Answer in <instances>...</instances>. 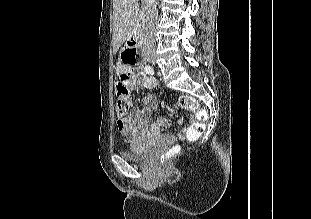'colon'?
Returning <instances> with one entry per match:
<instances>
[{
	"instance_id": "1",
	"label": "colon",
	"mask_w": 311,
	"mask_h": 219,
	"mask_svg": "<svg viewBox=\"0 0 311 219\" xmlns=\"http://www.w3.org/2000/svg\"><path fill=\"white\" fill-rule=\"evenodd\" d=\"M126 61L129 64H135L136 56L128 53ZM117 89V105L116 115L118 120H123L129 109L128 91L129 85L125 75H121L116 82ZM179 104L182 109L193 113V120L186 131V136L189 141L196 140L204 130L207 120V111L199 107L198 102L191 96L185 95L180 98ZM178 152V147L174 146L162 154L161 163L164 165L171 157Z\"/></svg>"
}]
</instances>
